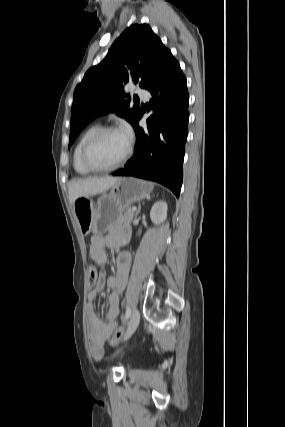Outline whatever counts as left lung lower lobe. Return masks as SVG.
Returning <instances> with one entry per match:
<instances>
[{
  "instance_id": "1",
  "label": "left lung lower lobe",
  "mask_w": 285,
  "mask_h": 427,
  "mask_svg": "<svg viewBox=\"0 0 285 427\" xmlns=\"http://www.w3.org/2000/svg\"><path fill=\"white\" fill-rule=\"evenodd\" d=\"M151 94L147 111V128L139 126V115L134 124L136 132L135 155L115 176H135L159 182L178 197L183 180L182 163L189 113L186 78L171 52L146 87Z\"/></svg>"
}]
</instances>
